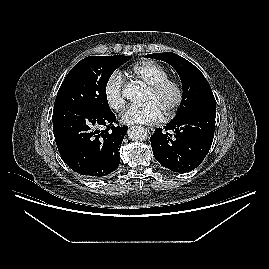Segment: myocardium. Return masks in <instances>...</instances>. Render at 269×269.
<instances>
[{"label":"myocardium","instance_id":"myocardium-1","mask_svg":"<svg viewBox=\"0 0 269 269\" xmlns=\"http://www.w3.org/2000/svg\"><path fill=\"white\" fill-rule=\"evenodd\" d=\"M169 87H172L175 90L176 98L172 106L168 109V111L163 114V117L165 119L172 118L181 107L185 96L184 87L178 79L171 77H167L149 87V90L154 95L161 94L164 90H166Z\"/></svg>","mask_w":269,"mask_h":269}]
</instances>
